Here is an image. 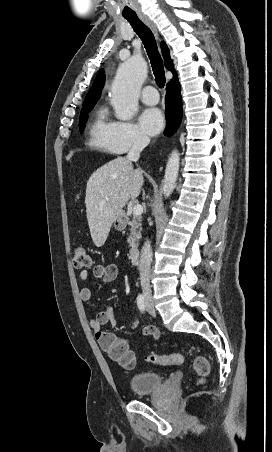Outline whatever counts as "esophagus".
<instances>
[{"label": "esophagus", "mask_w": 272, "mask_h": 452, "mask_svg": "<svg viewBox=\"0 0 272 452\" xmlns=\"http://www.w3.org/2000/svg\"><path fill=\"white\" fill-rule=\"evenodd\" d=\"M140 19L154 32L155 36L158 37V31L156 26L149 20L145 15H140Z\"/></svg>", "instance_id": "1"}]
</instances>
